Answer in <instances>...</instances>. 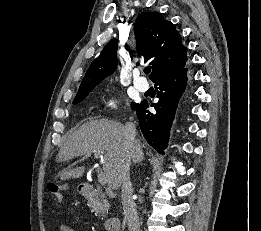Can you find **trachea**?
Here are the masks:
<instances>
[{
    "label": "trachea",
    "instance_id": "trachea-1",
    "mask_svg": "<svg viewBox=\"0 0 261 231\" xmlns=\"http://www.w3.org/2000/svg\"><path fill=\"white\" fill-rule=\"evenodd\" d=\"M150 72H151V68L148 67V68H145V69H144V73H145V74H149Z\"/></svg>",
    "mask_w": 261,
    "mask_h": 231
}]
</instances>
